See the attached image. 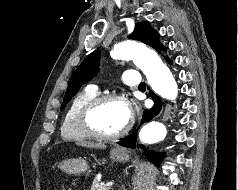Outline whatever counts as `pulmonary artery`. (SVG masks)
Returning a JSON list of instances; mask_svg holds the SVG:
<instances>
[{"label": "pulmonary artery", "mask_w": 238, "mask_h": 190, "mask_svg": "<svg viewBox=\"0 0 238 190\" xmlns=\"http://www.w3.org/2000/svg\"><path fill=\"white\" fill-rule=\"evenodd\" d=\"M122 81L128 86H138L141 82L139 73L135 70H127L122 75ZM96 89V87H92Z\"/></svg>", "instance_id": "obj_1"}]
</instances>
